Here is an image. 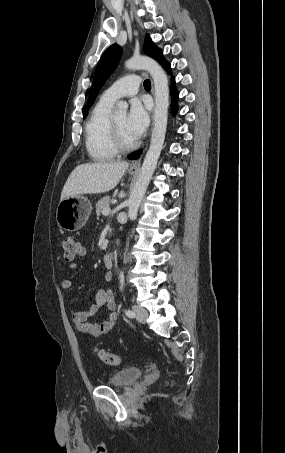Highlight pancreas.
<instances>
[{
    "mask_svg": "<svg viewBox=\"0 0 285 453\" xmlns=\"http://www.w3.org/2000/svg\"><path fill=\"white\" fill-rule=\"evenodd\" d=\"M110 196H105L101 198L96 204V214L100 215L104 209H110Z\"/></svg>",
    "mask_w": 285,
    "mask_h": 453,
    "instance_id": "cf45deb5",
    "label": "pancreas"
}]
</instances>
